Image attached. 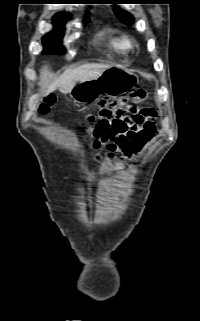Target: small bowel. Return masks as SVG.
I'll return each mask as SVG.
<instances>
[{"label": "small bowel", "instance_id": "small-bowel-1", "mask_svg": "<svg viewBox=\"0 0 200 321\" xmlns=\"http://www.w3.org/2000/svg\"><path fill=\"white\" fill-rule=\"evenodd\" d=\"M157 119L152 109L130 113L114 122L100 121L92 131L93 147L104 146L110 152L131 156L156 137Z\"/></svg>", "mask_w": 200, "mask_h": 321}]
</instances>
